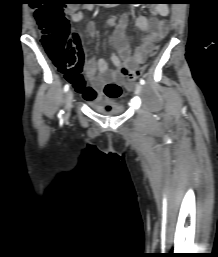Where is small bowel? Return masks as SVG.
Instances as JSON below:
<instances>
[{
    "mask_svg": "<svg viewBox=\"0 0 218 257\" xmlns=\"http://www.w3.org/2000/svg\"><path fill=\"white\" fill-rule=\"evenodd\" d=\"M92 10V6L85 5L82 8L70 7L67 13L73 22H80L83 19V11ZM169 9L166 5H157L152 9V16L145 17L134 15L132 13L124 14L119 21L111 19L108 26L116 25L113 34V43L110 46L112 51H117L118 55L112 54L111 60L115 69H109L103 59L96 60L90 58L85 65V73L80 75L79 79L68 78L75 91L86 101L94 100L102 96V83L116 82L122 85L124 77L138 68L152 53L155 44L164 38L168 31L169 21L166 16ZM157 16H161L159 19ZM130 18L133 19L135 26L142 32L139 46L131 52L127 42L125 32ZM87 34L95 38L97 34L94 22L87 26Z\"/></svg>",
    "mask_w": 218,
    "mask_h": 257,
    "instance_id": "1",
    "label": "small bowel"
}]
</instances>
